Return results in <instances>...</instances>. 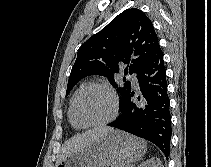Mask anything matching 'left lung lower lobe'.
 Segmentation results:
<instances>
[{"label":"left lung lower lobe","mask_w":211,"mask_h":167,"mask_svg":"<svg viewBox=\"0 0 211 167\" xmlns=\"http://www.w3.org/2000/svg\"><path fill=\"white\" fill-rule=\"evenodd\" d=\"M138 97L131 88L120 100L121 115L108 125L151 141L166 157L172 135L166 69L160 47L137 72Z\"/></svg>","instance_id":"left-lung-lower-lobe-1"}]
</instances>
